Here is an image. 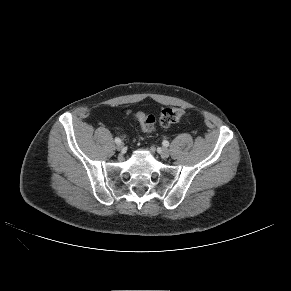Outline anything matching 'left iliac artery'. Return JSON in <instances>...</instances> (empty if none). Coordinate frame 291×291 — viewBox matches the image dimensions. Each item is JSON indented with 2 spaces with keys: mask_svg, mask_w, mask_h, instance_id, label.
Listing matches in <instances>:
<instances>
[{
  "mask_svg": "<svg viewBox=\"0 0 291 291\" xmlns=\"http://www.w3.org/2000/svg\"><path fill=\"white\" fill-rule=\"evenodd\" d=\"M163 146L168 147V146H169V142L166 141V140H164V141H163Z\"/></svg>",
  "mask_w": 291,
  "mask_h": 291,
  "instance_id": "44dca946",
  "label": "left iliac artery"
}]
</instances>
